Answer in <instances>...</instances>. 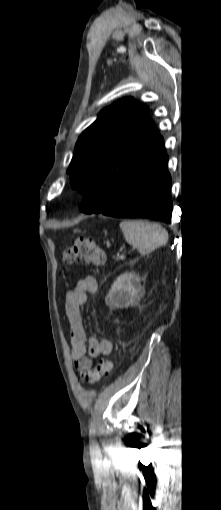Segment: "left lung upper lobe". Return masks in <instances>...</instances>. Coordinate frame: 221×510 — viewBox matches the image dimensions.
Returning a JSON list of instances; mask_svg holds the SVG:
<instances>
[{"instance_id": "5c2ea615", "label": "left lung upper lobe", "mask_w": 221, "mask_h": 510, "mask_svg": "<svg viewBox=\"0 0 221 510\" xmlns=\"http://www.w3.org/2000/svg\"><path fill=\"white\" fill-rule=\"evenodd\" d=\"M163 151L148 107L124 98L103 109L79 137L67 171L71 186L83 194V202L102 209Z\"/></svg>"}]
</instances>
